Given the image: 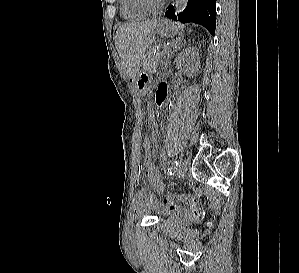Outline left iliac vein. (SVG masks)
<instances>
[{"label": "left iliac vein", "instance_id": "left-iliac-vein-1", "mask_svg": "<svg viewBox=\"0 0 299 273\" xmlns=\"http://www.w3.org/2000/svg\"><path fill=\"white\" fill-rule=\"evenodd\" d=\"M187 171V162L183 159L180 160L177 174H176V179H181L182 177L185 176Z\"/></svg>", "mask_w": 299, "mask_h": 273}]
</instances>
